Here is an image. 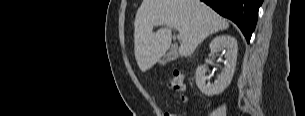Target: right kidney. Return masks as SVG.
Instances as JSON below:
<instances>
[{
    "label": "right kidney",
    "mask_w": 305,
    "mask_h": 116,
    "mask_svg": "<svg viewBox=\"0 0 305 116\" xmlns=\"http://www.w3.org/2000/svg\"><path fill=\"white\" fill-rule=\"evenodd\" d=\"M210 54L214 57L221 50L225 51L224 68L213 84H206V66L201 65L196 70V84L206 96L222 93L231 83L237 61V40L230 35L216 36L209 44Z\"/></svg>",
    "instance_id": "1"
}]
</instances>
